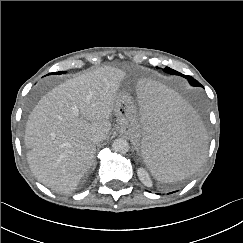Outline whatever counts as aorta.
Listing matches in <instances>:
<instances>
[{
	"label": "aorta",
	"instance_id": "762f6f07",
	"mask_svg": "<svg viewBox=\"0 0 243 243\" xmlns=\"http://www.w3.org/2000/svg\"><path fill=\"white\" fill-rule=\"evenodd\" d=\"M112 149L115 152H119V153H127L129 151V144L125 139H116L113 141L112 143Z\"/></svg>",
	"mask_w": 243,
	"mask_h": 243
}]
</instances>
